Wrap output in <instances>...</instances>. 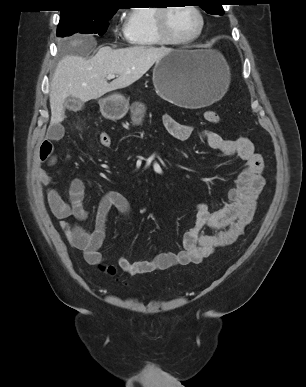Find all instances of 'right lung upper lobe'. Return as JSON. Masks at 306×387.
Listing matches in <instances>:
<instances>
[{"instance_id":"right-lung-upper-lobe-1","label":"right lung upper lobe","mask_w":306,"mask_h":387,"mask_svg":"<svg viewBox=\"0 0 306 387\" xmlns=\"http://www.w3.org/2000/svg\"><path fill=\"white\" fill-rule=\"evenodd\" d=\"M61 13H94L103 10H117L116 0H65Z\"/></svg>"}]
</instances>
